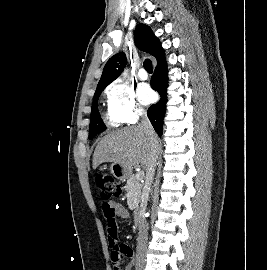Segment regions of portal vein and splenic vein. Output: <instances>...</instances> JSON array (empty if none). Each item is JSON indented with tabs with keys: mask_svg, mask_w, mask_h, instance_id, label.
Wrapping results in <instances>:
<instances>
[{
	"mask_svg": "<svg viewBox=\"0 0 267 270\" xmlns=\"http://www.w3.org/2000/svg\"><path fill=\"white\" fill-rule=\"evenodd\" d=\"M136 176H137V179L141 180L143 178V176H144V172L139 171Z\"/></svg>",
	"mask_w": 267,
	"mask_h": 270,
	"instance_id": "obj_1",
	"label": "portal vein and splenic vein"
}]
</instances>
